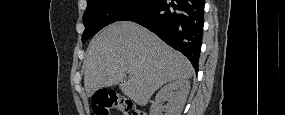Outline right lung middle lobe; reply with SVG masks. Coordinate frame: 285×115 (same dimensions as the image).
<instances>
[{
	"mask_svg": "<svg viewBox=\"0 0 285 115\" xmlns=\"http://www.w3.org/2000/svg\"><path fill=\"white\" fill-rule=\"evenodd\" d=\"M155 0H87L83 15L85 31L82 41L89 39L108 24L120 21Z\"/></svg>",
	"mask_w": 285,
	"mask_h": 115,
	"instance_id": "dd1d6c3e",
	"label": "right lung middle lobe"
}]
</instances>
